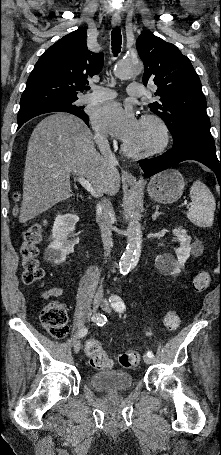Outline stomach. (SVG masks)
Instances as JSON below:
<instances>
[{"label": "stomach", "instance_id": "obj_1", "mask_svg": "<svg viewBox=\"0 0 221 455\" xmlns=\"http://www.w3.org/2000/svg\"><path fill=\"white\" fill-rule=\"evenodd\" d=\"M185 181L175 169L165 170L153 176L147 186L149 196L158 203L171 204L183 194Z\"/></svg>", "mask_w": 221, "mask_h": 455}]
</instances>
